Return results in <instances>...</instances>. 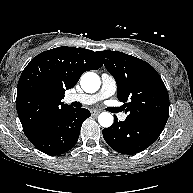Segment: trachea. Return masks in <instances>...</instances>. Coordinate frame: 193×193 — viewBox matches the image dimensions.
Instances as JSON below:
<instances>
[{
	"label": "trachea",
	"mask_w": 193,
	"mask_h": 193,
	"mask_svg": "<svg viewBox=\"0 0 193 193\" xmlns=\"http://www.w3.org/2000/svg\"><path fill=\"white\" fill-rule=\"evenodd\" d=\"M119 110H120L119 108H113V109H112V112H113V113H116V112H118Z\"/></svg>",
	"instance_id": "3493384b"
}]
</instances>
